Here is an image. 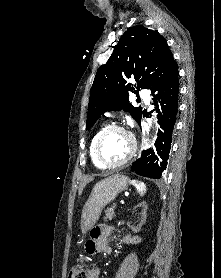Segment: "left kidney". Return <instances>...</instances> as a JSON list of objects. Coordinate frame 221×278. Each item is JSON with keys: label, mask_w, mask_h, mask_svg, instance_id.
Instances as JSON below:
<instances>
[{"label": "left kidney", "mask_w": 221, "mask_h": 278, "mask_svg": "<svg viewBox=\"0 0 221 278\" xmlns=\"http://www.w3.org/2000/svg\"><path fill=\"white\" fill-rule=\"evenodd\" d=\"M138 207H142L143 208V212H142V216L144 219H146V211L148 209V206L145 202H142L138 205Z\"/></svg>", "instance_id": "obj_1"}]
</instances>
